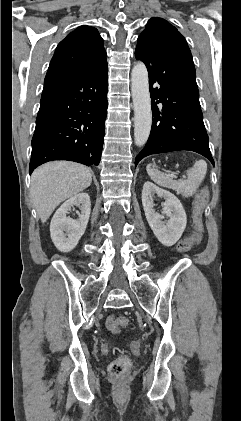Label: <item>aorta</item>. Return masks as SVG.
Here are the masks:
<instances>
[{
	"instance_id": "obj_1",
	"label": "aorta",
	"mask_w": 241,
	"mask_h": 421,
	"mask_svg": "<svg viewBox=\"0 0 241 421\" xmlns=\"http://www.w3.org/2000/svg\"><path fill=\"white\" fill-rule=\"evenodd\" d=\"M131 93L134 106V141L140 147L147 142L152 125L148 71L143 62H137L132 69Z\"/></svg>"
}]
</instances>
